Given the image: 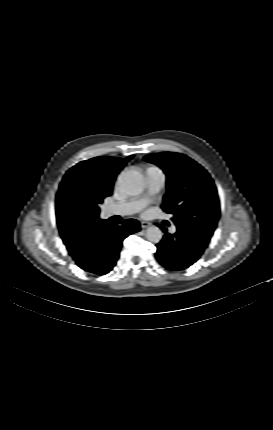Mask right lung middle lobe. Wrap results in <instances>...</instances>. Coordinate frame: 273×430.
<instances>
[{
    "label": "right lung middle lobe",
    "instance_id": "1",
    "mask_svg": "<svg viewBox=\"0 0 273 430\" xmlns=\"http://www.w3.org/2000/svg\"><path fill=\"white\" fill-rule=\"evenodd\" d=\"M103 199L79 190H69L56 203L57 223L60 231H79L98 219Z\"/></svg>",
    "mask_w": 273,
    "mask_h": 430
}]
</instances>
